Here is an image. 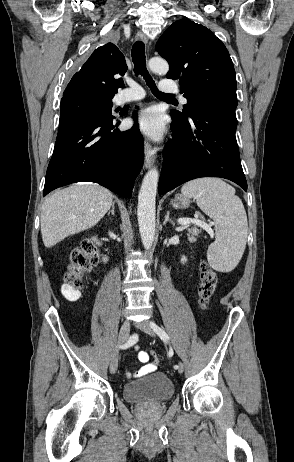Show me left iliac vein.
I'll use <instances>...</instances> for the list:
<instances>
[{"label":"left iliac vein","mask_w":294,"mask_h":462,"mask_svg":"<svg viewBox=\"0 0 294 462\" xmlns=\"http://www.w3.org/2000/svg\"><path fill=\"white\" fill-rule=\"evenodd\" d=\"M140 330H142L143 332H145L146 334L150 335V336H154L155 333L150 325V323L148 321H143L139 324L136 325ZM178 372L179 373H182L184 371V367H183V364L181 362L178 363V368H177Z\"/></svg>","instance_id":"left-iliac-vein-1"}]
</instances>
